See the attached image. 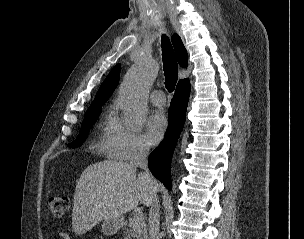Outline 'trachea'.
<instances>
[{
	"mask_svg": "<svg viewBox=\"0 0 304 239\" xmlns=\"http://www.w3.org/2000/svg\"><path fill=\"white\" fill-rule=\"evenodd\" d=\"M162 60L164 67L165 86L169 92L175 88L178 79V64L169 39L162 36Z\"/></svg>",
	"mask_w": 304,
	"mask_h": 239,
	"instance_id": "3493384b",
	"label": "trachea"
}]
</instances>
